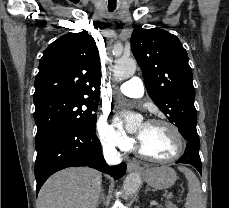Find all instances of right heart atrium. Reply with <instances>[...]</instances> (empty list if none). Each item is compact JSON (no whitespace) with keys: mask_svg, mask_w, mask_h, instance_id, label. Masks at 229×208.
Masks as SVG:
<instances>
[{"mask_svg":"<svg viewBox=\"0 0 229 208\" xmlns=\"http://www.w3.org/2000/svg\"><path fill=\"white\" fill-rule=\"evenodd\" d=\"M97 137L102 146L106 148L129 152L135 147L134 140L125 136L119 129L111 125L105 114H102L97 121Z\"/></svg>","mask_w":229,"mask_h":208,"instance_id":"1","label":"right heart atrium"}]
</instances>
